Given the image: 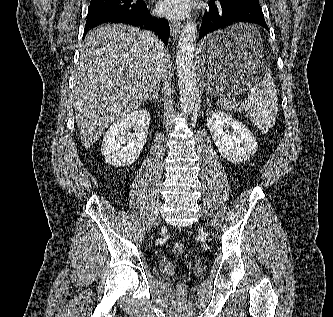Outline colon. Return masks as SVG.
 Instances as JSON below:
<instances>
[{"label":"colon","instance_id":"obj_1","mask_svg":"<svg viewBox=\"0 0 333 317\" xmlns=\"http://www.w3.org/2000/svg\"><path fill=\"white\" fill-rule=\"evenodd\" d=\"M185 245L181 242H178L174 245V251L178 254V255H182L185 253ZM180 290L183 291L184 290V286H180Z\"/></svg>","mask_w":333,"mask_h":317}]
</instances>
